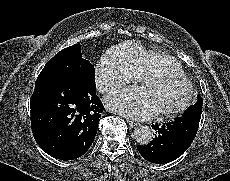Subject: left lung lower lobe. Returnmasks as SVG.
<instances>
[{
    "mask_svg": "<svg viewBox=\"0 0 230 181\" xmlns=\"http://www.w3.org/2000/svg\"><path fill=\"white\" fill-rule=\"evenodd\" d=\"M201 113L202 109L191 107L172 122L152 125L155 138L148 145L137 146L141 156L157 164L168 163L181 156L196 136Z\"/></svg>",
    "mask_w": 230,
    "mask_h": 181,
    "instance_id": "0a47b994",
    "label": "left lung lower lobe"
}]
</instances>
